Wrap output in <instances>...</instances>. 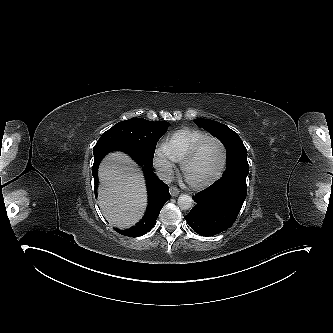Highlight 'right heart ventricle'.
Instances as JSON below:
<instances>
[{
    "label": "right heart ventricle",
    "instance_id": "1",
    "mask_svg": "<svg viewBox=\"0 0 333 333\" xmlns=\"http://www.w3.org/2000/svg\"><path fill=\"white\" fill-rule=\"evenodd\" d=\"M209 134L205 131L182 128L172 133L166 139V148L175 161H182L191 147Z\"/></svg>",
    "mask_w": 333,
    "mask_h": 333
}]
</instances>
